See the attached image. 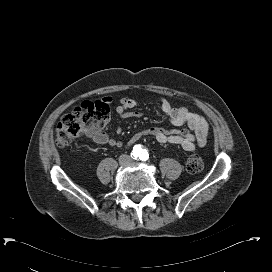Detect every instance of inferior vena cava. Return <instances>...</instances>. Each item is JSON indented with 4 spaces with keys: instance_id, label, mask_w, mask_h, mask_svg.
Instances as JSON below:
<instances>
[{
    "instance_id": "obj_1",
    "label": "inferior vena cava",
    "mask_w": 272,
    "mask_h": 272,
    "mask_svg": "<svg viewBox=\"0 0 272 272\" xmlns=\"http://www.w3.org/2000/svg\"><path fill=\"white\" fill-rule=\"evenodd\" d=\"M124 157H127V156H125V155L120 156V161H121Z\"/></svg>"
}]
</instances>
